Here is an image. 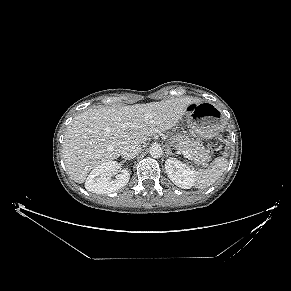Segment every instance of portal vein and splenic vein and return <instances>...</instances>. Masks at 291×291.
Masks as SVG:
<instances>
[{"instance_id":"18ae733b","label":"portal vein and splenic vein","mask_w":291,"mask_h":291,"mask_svg":"<svg viewBox=\"0 0 291 291\" xmlns=\"http://www.w3.org/2000/svg\"><path fill=\"white\" fill-rule=\"evenodd\" d=\"M134 125H133V123H131V122H126L124 125H123V127L124 128H130V127H133ZM186 158H188V159H192V156H191V154L188 152V151H182L181 152Z\"/></svg>"}]
</instances>
